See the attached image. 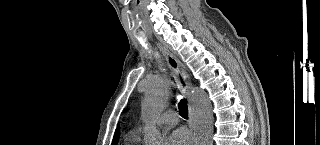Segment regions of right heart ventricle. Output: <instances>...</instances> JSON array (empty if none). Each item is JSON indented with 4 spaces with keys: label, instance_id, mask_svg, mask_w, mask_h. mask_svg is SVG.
<instances>
[{
    "label": "right heart ventricle",
    "instance_id": "right-heart-ventricle-1",
    "mask_svg": "<svg viewBox=\"0 0 320 145\" xmlns=\"http://www.w3.org/2000/svg\"><path fill=\"white\" fill-rule=\"evenodd\" d=\"M125 145H136V141L133 138H129Z\"/></svg>",
    "mask_w": 320,
    "mask_h": 145
}]
</instances>
